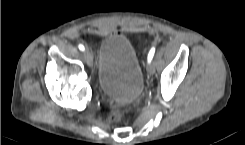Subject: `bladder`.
I'll list each match as a JSON object with an SVG mask.
<instances>
[{
	"label": "bladder",
	"instance_id": "1",
	"mask_svg": "<svg viewBox=\"0 0 245 145\" xmlns=\"http://www.w3.org/2000/svg\"><path fill=\"white\" fill-rule=\"evenodd\" d=\"M97 77L104 94L113 100H133L143 88V74L134 47L119 33L106 36L98 53Z\"/></svg>",
	"mask_w": 245,
	"mask_h": 145
}]
</instances>
